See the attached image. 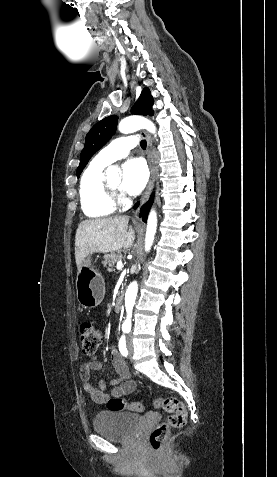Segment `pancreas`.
Masks as SVG:
<instances>
[{"label":"pancreas","instance_id":"1","mask_svg":"<svg viewBox=\"0 0 277 477\" xmlns=\"http://www.w3.org/2000/svg\"><path fill=\"white\" fill-rule=\"evenodd\" d=\"M120 253L113 252L111 254H107L104 257V261L102 262L103 265L107 268L108 271H111L114 264L120 260Z\"/></svg>","mask_w":277,"mask_h":477}]
</instances>
